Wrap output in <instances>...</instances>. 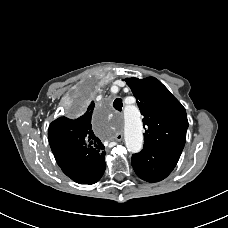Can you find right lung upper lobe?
<instances>
[{
  "label": "right lung upper lobe",
  "instance_id": "right-lung-upper-lobe-1",
  "mask_svg": "<svg viewBox=\"0 0 228 228\" xmlns=\"http://www.w3.org/2000/svg\"><path fill=\"white\" fill-rule=\"evenodd\" d=\"M94 102L86 112L75 119L59 117L53 121L48 130V140L54 155L81 148L93 152H103L104 145L92 129Z\"/></svg>",
  "mask_w": 228,
  "mask_h": 228
}]
</instances>
